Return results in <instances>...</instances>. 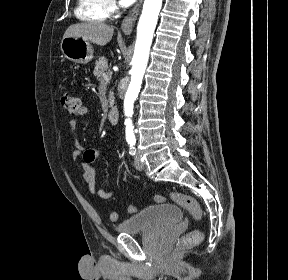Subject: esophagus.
I'll return each instance as SVG.
<instances>
[{
  "label": "esophagus",
  "mask_w": 288,
  "mask_h": 280,
  "mask_svg": "<svg viewBox=\"0 0 288 280\" xmlns=\"http://www.w3.org/2000/svg\"><path fill=\"white\" fill-rule=\"evenodd\" d=\"M142 2L143 0H138L137 4L130 10L127 16L123 19L121 23V30L125 35L131 34L135 22L137 20V17L139 15Z\"/></svg>",
  "instance_id": "1"
}]
</instances>
